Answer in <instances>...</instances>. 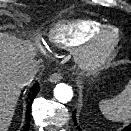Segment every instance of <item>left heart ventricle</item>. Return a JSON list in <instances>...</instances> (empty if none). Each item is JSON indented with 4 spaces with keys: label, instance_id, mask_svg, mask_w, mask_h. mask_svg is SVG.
I'll list each match as a JSON object with an SVG mask.
<instances>
[{
    "label": "left heart ventricle",
    "instance_id": "left-heart-ventricle-1",
    "mask_svg": "<svg viewBox=\"0 0 131 131\" xmlns=\"http://www.w3.org/2000/svg\"><path fill=\"white\" fill-rule=\"evenodd\" d=\"M111 39V35H109L107 38H106V42L110 41Z\"/></svg>",
    "mask_w": 131,
    "mask_h": 131
}]
</instances>
